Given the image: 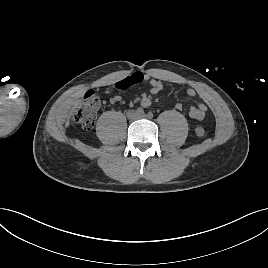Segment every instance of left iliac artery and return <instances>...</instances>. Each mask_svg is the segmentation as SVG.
I'll list each match as a JSON object with an SVG mask.
<instances>
[{
	"instance_id": "1",
	"label": "left iliac artery",
	"mask_w": 268,
	"mask_h": 268,
	"mask_svg": "<svg viewBox=\"0 0 268 268\" xmlns=\"http://www.w3.org/2000/svg\"><path fill=\"white\" fill-rule=\"evenodd\" d=\"M147 117H148L149 119H152V118H153V113H152V112H149V113L147 114Z\"/></svg>"
}]
</instances>
